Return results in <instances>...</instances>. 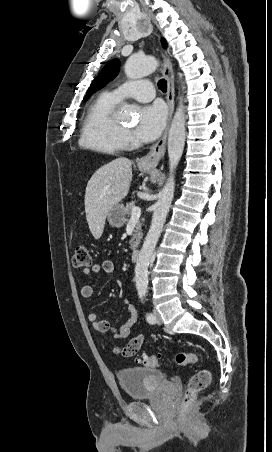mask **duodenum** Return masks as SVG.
Wrapping results in <instances>:
<instances>
[{"label": "duodenum", "instance_id": "duodenum-1", "mask_svg": "<svg viewBox=\"0 0 272 452\" xmlns=\"http://www.w3.org/2000/svg\"><path fill=\"white\" fill-rule=\"evenodd\" d=\"M139 249L138 248H134L132 251H131V260L132 261H137L138 260V258H139Z\"/></svg>", "mask_w": 272, "mask_h": 452}]
</instances>
